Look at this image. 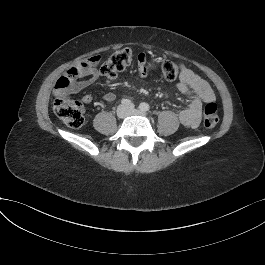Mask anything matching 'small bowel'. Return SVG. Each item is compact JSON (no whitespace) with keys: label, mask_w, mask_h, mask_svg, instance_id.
Here are the masks:
<instances>
[{"label":"small bowel","mask_w":265,"mask_h":265,"mask_svg":"<svg viewBox=\"0 0 265 265\" xmlns=\"http://www.w3.org/2000/svg\"><path fill=\"white\" fill-rule=\"evenodd\" d=\"M137 72L142 78H148L151 75L150 68L147 66L143 56L139 57ZM81 76L85 78L75 81L69 88V94L78 93L90 86L98 78L99 71L95 68H90L84 71ZM177 88L189 101L188 107L179 113L181 124L188 128L198 127L201 122L203 102L215 100L212 88L207 81L187 68L180 74ZM103 98L106 102L111 103L116 99V95L113 92H107ZM92 100L93 96L91 94H85L82 97V101L86 104L91 103Z\"/></svg>","instance_id":"1"}]
</instances>
